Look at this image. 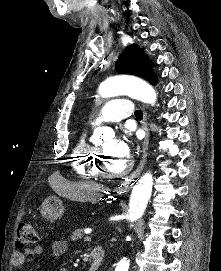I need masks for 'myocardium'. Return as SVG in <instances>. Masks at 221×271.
I'll return each instance as SVG.
<instances>
[{
  "instance_id": "obj_1",
  "label": "myocardium",
  "mask_w": 221,
  "mask_h": 271,
  "mask_svg": "<svg viewBox=\"0 0 221 271\" xmlns=\"http://www.w3.org/2000/svg\"><path fill=\"white\" fill-rule=\"evenodd\" d=\"M135 158H129L128 161H126L120 168L122 170H109V164H108V158H101L99 161V170L103 172V177L108 179H118V176L126 175L127 172H133L136 170V165H132V163H135ZM107 163V164H106Z\"/></svg>"
}]
</instances>
